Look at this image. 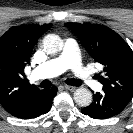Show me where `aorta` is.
Masks as SVG:
<instances>
[{
	"mask_svg": "<svg viewBox=\"0 0 133 133\" xmlns=\"http://www.w3.org/2000/svg\"><path fill=\"white\" fill-rule=\"evenodd\" d=\"M43 49L47 54L55 55L62 50L61 38L55 34H49L43 39ZM74 101L80 106H88L92 102V93L89 89L80 87L74 92Z\"/></svg>",
	"mask_w": 133,
	"mask_h": 133,
	"instance_id": "762f6f07",
	"label": "aorta"
}]
</instances>
